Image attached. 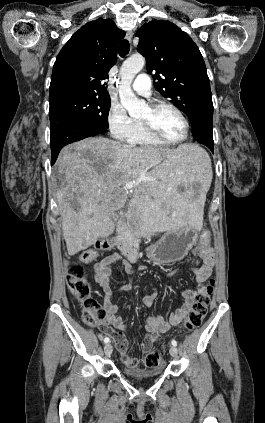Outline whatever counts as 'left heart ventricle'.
Wrapping results in <instances>:
<instances>
[{
  "mask_svg": "<svg viewBox=\"0 0 265 423\" xmlns=\"http://www.w3.org/2000/svg\"><path fill=\"white\" fill-rule=\"evenodd\" d=\"M141 121H151L156 129L167 139L179 140L184 136L185 127L177 113L169 108H161L152 112L148 107L140 118Z\"/></svg>",
  "mask_w": 265,
  "mask_h": 423,
  "instance_id": "obj_1",
  "label": "left heart ventricle"
}]
</instances>
